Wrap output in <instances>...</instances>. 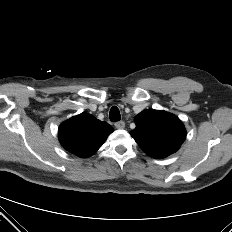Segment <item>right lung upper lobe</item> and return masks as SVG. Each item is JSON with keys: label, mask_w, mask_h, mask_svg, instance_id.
<instances>
[{"label": "right lung upper lobe", "mask_w": 232, "mask_h": 232, "mask_svg": "<svg viewBox=\"0 0 232 232\" xmlns=\"http://www.w3.org/2000/svg\"><path fill=\"white\" fill-rule=\"evenodd\" d=\"M112 132L108 123L81 113L60 125L59 141L67 151L86 158L93 155Z\"/></svg>", "instance_id": "obj_1"}]
</instances>
